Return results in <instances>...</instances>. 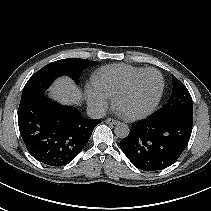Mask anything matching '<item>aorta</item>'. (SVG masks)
<instances>
[{
    "instance_id": "762f6f07",
    "label": "aorta",
    "mask_w": 211,
    "mask_h": 211,
    "mask_svg": "<svg viewBox=\"0 0 211 211\" xmlns=\"http://www.w3.org/2000/svg\"><path fill=\"white\" fill-rule=\"evenodd\" d=\"M129 131V126L125 123H118L114 129L115 135L122 139L128 136Z\"/></svg>"
}]
</instances>
